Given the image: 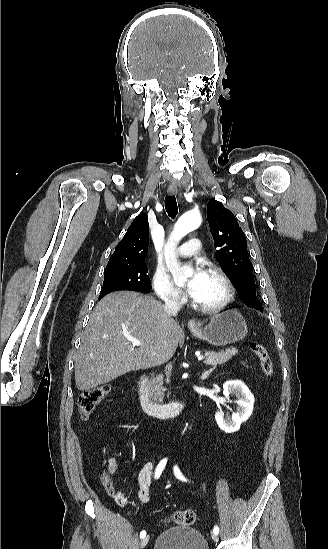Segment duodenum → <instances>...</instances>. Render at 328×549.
<instances>
[{"instance_id":"410a0bca","label":"duodenum","mask_w":328,"mask_h":549,"mask_svg":"<svg viewBox=\"0 0 328 549\" xmlns=\"http://www.w3.org/2000/svg\"><path fill=\"white\" fill-rule=\"evenodd\" d=\"M137 395L142 409L151 416L172 417L179 414L186 406L188 397H182L169 403H156L148 395V378L142 375L137 383Z\"/></svg>"}]
</instances>
